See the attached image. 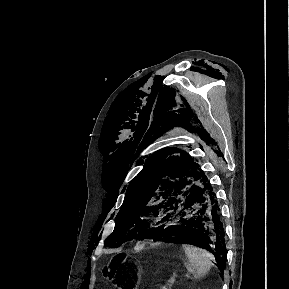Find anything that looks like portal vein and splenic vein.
Returning a JSON list of instances; mask_svg holds the SVG:
<instances>
[{"mask_svg": "<svg viewBox=\"0 0 289 289\" xmlns=\"http://www.w3.org/2000/svg\"><path fill=\"white\" fill-rule=\"evenodd\" d=\"M176 282V278L175 277H171L169 280H168V286H172L174 283Z\"/></svg>", "mask_w": 289, "mask_h": 289, "instance_id": "1", "label": "portal vein and splenic vein"}]
</instances>
